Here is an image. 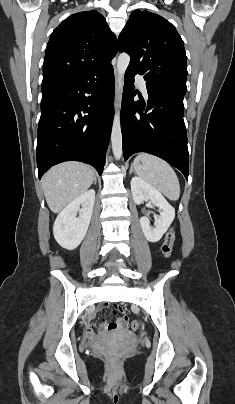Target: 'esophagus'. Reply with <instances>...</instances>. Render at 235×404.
<instances>
[{
	"label": "esophagus",
	"mask_w": 235,
	"mask_h": 404,
	"mask_svg": "<svg viewBox=\"0 0 235 404\" xmlns=\"http://www.w3.org/2000/svg\"><path fill=\"white\" fill-rule=\"evenodd\" d=\"M114 72H115V78H116V82H118V71L116 68H114Z\"/></svg>",
	"instance_id": "esophagus-1"
}]
</instances>
